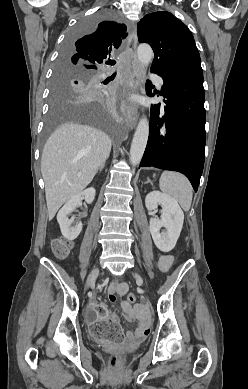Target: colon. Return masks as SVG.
Returning <instances> with one entry per match:
<instances>
[{
	"label": "colon",
	"mask_w": 248,
	"mask_h": 389,
	"mask_svg": "<svg viewBox=\"0 0 248 389\" xmlns=\"http://www.w3.org/2000/svg\"><path fill=\"white\" fill-rule=\"evenodd\" d=\"M52 248L56 256L65 257L70 250V244L61 239H54L52 241ZM136 297L133 293L127 295V301L134 303ZM95 317L102 318L100 322H90L89 327L92 329L96 340H100L101 344H121V331L119 322H110L106 305L95 306ZM107 325V326H106ZM110 366L115 369L121 365V356L119 354H112L110 356Z\"/></svg>",
	"instance_id": "obj_1"
}]
</instances>
